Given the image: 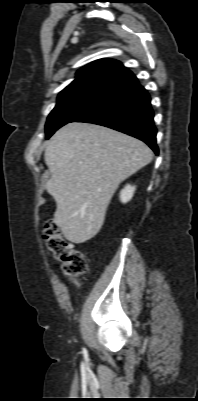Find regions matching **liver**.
Wrapping results in <instances>:
<instances>
[{
  "label": "liver",
  "mask_w": 198,
  "mask_h": 401,
  "mask_svg": "<svg viewBox=\"0 0 198 401\" xmlns=\"http://www.w3.org/2000/svg\"><path fill=\"white\" fill-rule=\"evenodd\" d=\"M44 160L51 173L46 190L57 204L54 223L80 244L99 232L119 184L149 164L152 151L113 129L72 122L52 136Z\"/></svg>",
  "instance_id": "obj_1"
}]
</instances>
